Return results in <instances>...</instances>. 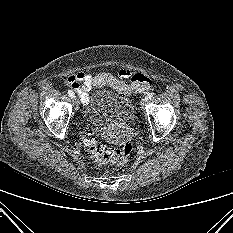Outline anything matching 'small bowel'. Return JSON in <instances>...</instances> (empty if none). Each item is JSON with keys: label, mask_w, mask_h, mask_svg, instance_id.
Instances as JSON below:
<instances>
[{"label": "small bowel", "mask_w": 233, "mask_h": 233, "mask_svg": "<svg viewBox=\"0 0 233 233\" xmlns=\"http://www.w3.org/2000/svg\"><path fill=\"white\" fill-rule=\"evenodd\" d=\"M120 76L128 78L130 76V71L121 70ZM91 79L92 75L83 71L76 72L70 75L67 79V83L76 91L83 103H88L89 101L88 93L92 89Z\"/></svg>", "instance_id": "c3829d8e"}]
</instances>
